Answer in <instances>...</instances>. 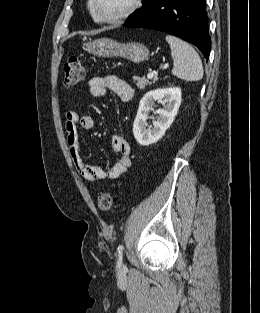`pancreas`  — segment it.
<instances>
[{"mask_svg": "<svg viewBox=\"0 0 260 313\" xmlns=\"http://www.w3.org/2000/svg\"><path fill=\"white\" fill-rule=\"evenodd\" d=\"M133 81L135 82L138 89H145L146 86L155 83L156 79L153 82H149L145 77H133Z\"/></svg>", "mask_w": 260, "mask_h": 313, "instance_id": "obj_1", "label": "pancreas"}]
</instances>
